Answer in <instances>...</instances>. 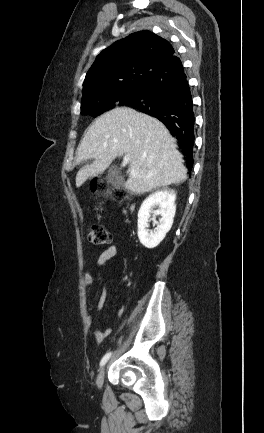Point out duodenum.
I'll return each instance as SVG.
<instances>
[{"label": "duodenum", "mask_w": 264, "mask_h": 433, "mask_svg": "<svg viewBox=\"0 0 264 433\" xmlns=\"http://www.w3.org/2000/svg\"><path fill=\"white\" fill-rule=\"evenodd\" d=\"M132 209H133V206L131 205V206H130V210H132Z\"/></svg>", "instance_id": "obj_1"}]
</instances>
